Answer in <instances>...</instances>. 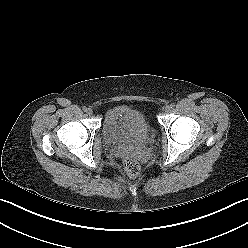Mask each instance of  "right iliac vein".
Listing matches in <instances>:
<instances>
[{
	"label": "right iliac vein",
	"mask_w": 248,
	"mask_h": 248,
	"mask_svg": "<svg viewBox=\"0 0 248 248\" xmlns=\"http://www.w3.org/2000/svg\"><path fill=\"white\" fill-rule=\"evenodd\" d=\"M86 113H87L88 115H92V114H93V111H92L91 108H88L87 111H86Z\"/></svg>",
	"instance_id": "obj_1"
}]
</instances>
